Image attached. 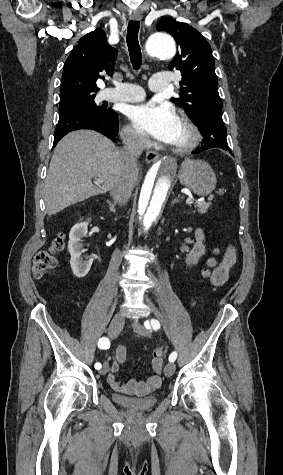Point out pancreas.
<instances>
[{"label":"pancreas","mask_w":283,"mask_h":475,"mask_svg":"<svg viewBox=\"0 0 283 475\" xmlns=\"http://www.w3.org/2000/svg\"><path fill=\"white\" fill-rule=\"evenodd\" d=\"M210 206L211 202H199V204H195V208H198L199 214H206Z\"/></svg>","instance_id":"cf45deb5"}]
</instances>
